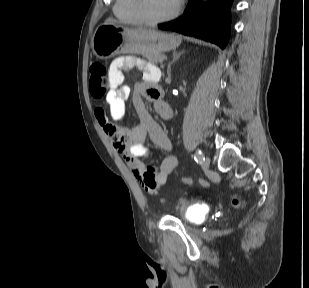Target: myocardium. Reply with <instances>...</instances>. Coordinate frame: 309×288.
<instances>
[{
  "label": "myocardium",
  "instance_id": "myocardium-1",
  "mask_svg": "<svg viewBox=\"0 0 309 288\" xmlns=\"http://www.w3.org/2000/svg\"><path fill=\"white\" fill-rule=\"evenodd\" d=\"M131 7L136 17L142 23L148 25H157L175 18L182 10L183 0H179L175 9L171 11L169 14L158 18H153L147 15V13L144 10V0H132Z\"/></svg>",
  "mask_w": 309,
  "mask_h": 288
}]
</instances>
